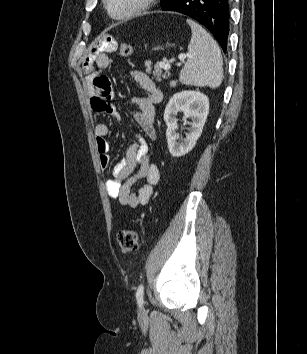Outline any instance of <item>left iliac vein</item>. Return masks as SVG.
Listing matches in <instances>:
<instances>
[{
    "label": "left iliac vein",
    "mask_w": 307,
    "mask_h": 354,
    "mask_svg": "<svg viewBox=\"0 0 307 354\" xmlns=\"http://www.w3.org/2000/svg\"><path fill=\"white\" fill-rule=\"evenodd\" d=\"M145 313V309H141V314H144Z\"/></svg>",
    "instance_id": "left-iliac-vein-1"
}]
</instances>
